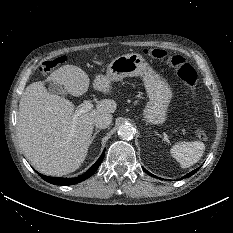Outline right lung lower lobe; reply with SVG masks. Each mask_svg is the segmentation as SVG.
<instances>
[{
	"mask_svg": "<svg viewBox=\"0 0 233 233\" xmlns=\"http://www.w3.org/2000/svg\"><path fill=\"white\" fill-rule=\"evenodd\" d=\"M104 154H105V150L103 151L100 158L95 162V164L88 171H86L85 174H83L77 178L48 177L45 175H41V177L45 181L52 183V184H55V185H72V184L79 183V182L89 178L92 174H94V172L98 169L99 165L101 164V162L104 158Z\"/></svg>",
	"mask_w": 233,
	"mask_h": 233,
	"instance_id": "obj_1",
	"label": "right lung lower lobe"
}]
</instances>
